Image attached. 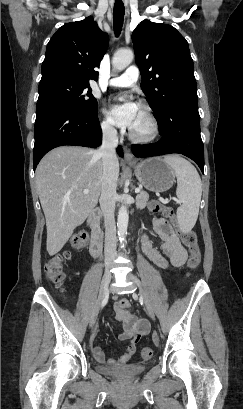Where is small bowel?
Masks as SVG:
<instances>
[{"label":"small bowel","instance_id":"small-bowel-1","mask_svg":"<svg viewBox=\"0 0 243 409\" xmlns=\"http://www.w3.org/2000/svg\"><path fill=\"white\" fill-rule=\"evenodd\" d=\"M154 229L161 240L160 250L155 248L150 240L144 236L142 238V246L148 258L157 267L162 269H166L170 265L175 267L183 265L187 252L185 247L180 243L170 223L164 218H155ZM130 308L131 304L127 299H115V316L116 319L122 323L123 328L118 336V340L130 341L124 354L116 359L106 358L101 348L94 344L97 334V332H95L90 338V348L93 357L97 361L125 364L135 354L139 339L148 332L149 327L145 320L135 317L129 311Z\"/></svg>","mask_w":243,"mask_h":409}]
</instances>
